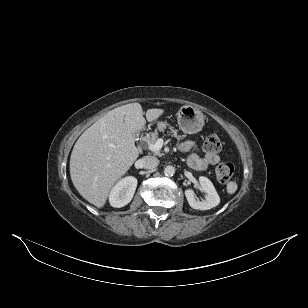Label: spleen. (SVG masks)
I'll list each match as a JSON object with an SVG mask.
<instances>
[{
	"instance_id": "spleen-1",
	"label": "spleen",
	"mask_w": 308,
	"mask_h": 308,
	"mask_svg": "<svg viewBox=\"0 0 308 308\" xmlns=\"http://www.w3.org/2000/svg\"><path fill=\"white\" fill-rule=\"evenodd\" d=\"M237 188H238V185L236 182L231 181L227 183L226 190L229 195L234 194L237 191Z\"/></svg>"
}]
</instances>
